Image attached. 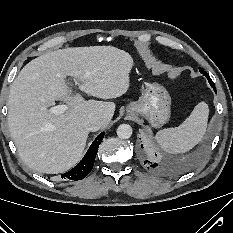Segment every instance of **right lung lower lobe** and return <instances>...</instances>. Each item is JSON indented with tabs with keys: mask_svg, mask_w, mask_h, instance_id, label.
<instances>
[{
	"mask_svg": "<svg viewBox=\"0 0 233 233\" xmlns=\"http://www.w3.org/2000/svg\"><path fill=\"white\" fill-rule=\"evenodd\" d=\"M104 135H105V132H102L95 138V140L90 145L83 159L70 171L62 174V179L76 181V180H81L85 178L89 174V172L93 168L95 157L98 151V147Z\"/></svg>",
	"mask_w": 233,
	"mask_h": 233,
	"instance_id": "right-lung-lower-lobe-1",
	"label": "right lung lower lobe"
}]
</instances>
